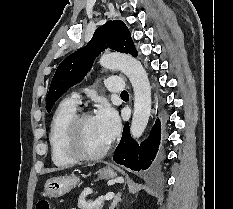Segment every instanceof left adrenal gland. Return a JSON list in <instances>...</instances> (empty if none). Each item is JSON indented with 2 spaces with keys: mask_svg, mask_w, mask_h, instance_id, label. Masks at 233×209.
I'll return each mask as SVG.
<instances>
[{
  "mask_svg": "<svg viewBox=\"0 0 233 209\" xmlns=\"http://www.w3.org/2000/svg\"><path fill=\"white\" fill-rule=\"evenodd\" d=\"M121 200H122V199H121V194L118 193V194L115 196V198L113 199V201H112V203H111L109 209H114V208L117 206V204H118Z\"/></svg>",
  "mask_w": 233,
  "mask_h": 209,
  "instance_id": "a2214340",
  "label": "left adrenal gland"
}]
</instances>
